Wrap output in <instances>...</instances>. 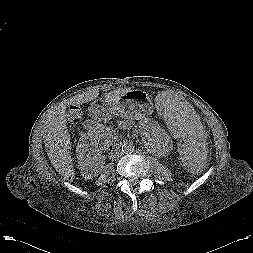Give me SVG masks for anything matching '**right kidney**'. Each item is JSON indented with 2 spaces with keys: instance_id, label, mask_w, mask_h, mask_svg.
<instances>
[{
  "instance_id": "1",
  "label": "right kidney",
  "mask_w": 253,
  "mask_h": 253,
  "mask_svg": "<svg viewBox=\"0 0 253 253\" xmlns=\"http://www.w3.org/2000/svg\"><path fill=\"white\" fill-rule=\"evenodd\" d=\"M109 148V140L99 128L82 133L76 147L78 168L85 179L97 176L105 161V152Z\"/></svg>"
}]
</instances>
